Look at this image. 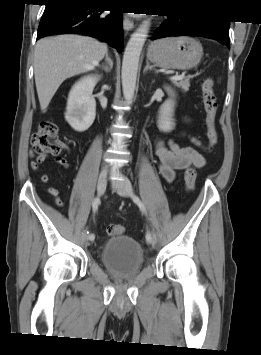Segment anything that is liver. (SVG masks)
Masks as SVG:
<instances>
[{
  "label": "liver",
  "mask_w": 261,
  "mask_h": 355,
  "mask_svg": "<svg viewBox=\"0 0 261 355\" xmlns=\"http://www.w3.org/2000/svg\"><path fill=\"white\" fill-rule=\"evenodd\" d=\"M108 51L107 45L80 35H59L37 42L34 75L42 112L67 78L93 70Z\"/></svg>",
  "instance_id": "liver-1"
}]
</instances>
